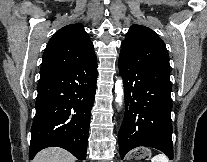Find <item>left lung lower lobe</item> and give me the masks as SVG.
Wrapping results in <instances>:
<instances>
[{
    "label": "left lung lower lobe",
    "mask_w": 207,
    "mask_h": 162,
    "mask_svg": "<svg viewBox=\"0 0 207 162\" xmlns=\"http://www.w3.org/2000/svg\"><path fill=\"white\" fill-rule=\"evenodd\" d=\"M125 115L119 130L121 159L139 146L158 149L173 159L170 75L119 59Z\"/></svg>",
    "instance_id": "1"
}]
</instances>
